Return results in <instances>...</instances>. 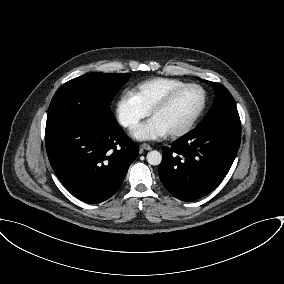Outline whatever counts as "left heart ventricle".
I'll return each mask as SVG.
<instances>
[{
  "label": "left heart ventricle",
  "mask_w": 284,
  "mask_h": 284,
  "mask_svg": "<svg viewBox=\"0 0 284 284\" xmlns=\"http://www.w3.org/2000/svg\"><path fill=\"white\" fill-rule=\"evenodd\" d=\"M201 102V91L189 88L181 92L168 107L156 112L152 118L168 133L184 126L196 113Z\"/></svg>",
  "instance_id": "1"
}]
</instances>
